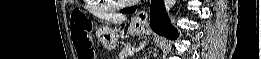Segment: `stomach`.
Wrapping results in <instances>:
<instances>
[{
	"label": "stomach",
	"instance_id": "stomach-1",
	"mask_svg": "<svg viewBox=\"0 0 261 59\" xmlns=\"http://www.w3.org/2000/svg\"><path fill=\"white\" fill-rule=\"evenodd\" d=\"M145 31V25L137 21H132L128 28V33L131 35H142ZM118 32L119 31L117 29H112L109 26H102L97 30L96 36L98 41L106 50L112 51L118 45Z\"/></svg>",
	"mask_w": 261,
	"mask_h": 59
}]
</instances>
